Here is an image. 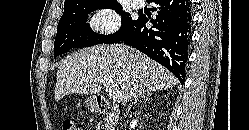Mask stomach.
Masks as SVG:
<instances>
[{
  "mask_svg": "<svg viewBox=\"0 0 249 130\" xmlns=\"http://www.w3.org/2000/svg\"><path fill=\"white\" fill-rule=\"evenodd\" d=\"M85 104L90 111H96L98 109L97 99L95 96L88 97Z\"/></svg>",
  "mask_w": 249,
  "mask_h": 130,
  "instance_id": "0dacf381",
  "label": "stomach"
}]
</instances>
